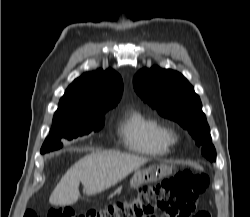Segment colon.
Here are the masks:
<instances>
[{"label":"colon","mask_w":250,"mask_h":217,"mask_svg":"<svg viewBox=\"0 0 250 217\" xmlns=\"http://www.w3.org/2000/svg\"><path fill=\"white\" fill-rule=\"evenodd\" d=\"M208 183L206 174L185 170L161 183L142 186L130 201L118 200L78 215L70 209L53 208L44 217H186L195 208ZM24 217L40 216L28 210ZM195 217L211 215L203 210Z\"/></svg>","instance_id":"colon-1"}]
</instances>
